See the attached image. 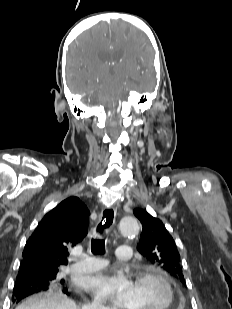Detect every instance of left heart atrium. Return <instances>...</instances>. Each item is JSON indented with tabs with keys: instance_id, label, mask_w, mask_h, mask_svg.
Segmentation results:
<instances>
[{
	"instance_id": "obj_1",
	"label": "left heart atrium",
	"mask_w": 232,
	"mask_h": 309,
	"mask_svg": "<svg viewBox=\"0 0 232 309\" xmlns=\"http://www.w3.org/2000/svg\"><path fill=\"white\" fill-rule=\"evenodd\" d=\"M133 282L117 271L98 273L87 279V288L99 299L110 301L121 308H129Z\"/></svg>"
}]
</instances>
